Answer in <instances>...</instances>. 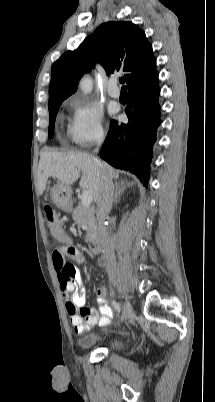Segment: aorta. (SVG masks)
Returning a JSON list of instances; mask_svg holds the SVG:
<instances>
[{
  "label": "aorta",
  "mask_w": 215,
  "mask_h": 402,
  "mask_svg": "<svg viewBox=\"0 0 215 402\" xmlns=\"http://www.w3.org/2000/svg\"><path fill=\"white\" fill-rule=\"evenodd\" d=\"M79 86L84 94L90 93L93 89V83L91 78L89 76H84L81 79Z\"/></svg>",
  "instance_id": "obj_1"
}]
</instances>
